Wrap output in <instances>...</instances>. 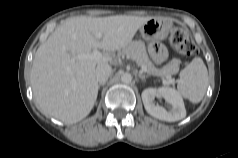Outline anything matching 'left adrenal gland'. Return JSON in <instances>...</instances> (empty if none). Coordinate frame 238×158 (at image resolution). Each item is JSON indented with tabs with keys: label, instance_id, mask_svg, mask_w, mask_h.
Instances as JSON below:
<instances>
[{
	"label": "left adrenal gland",
	"instance_id": "1",
	"mask_svg": "<svg viewBox=\"0 0 238 158\" xmlns=\"http://www.w3.org/2000/svg\"><path fill=\"white\" fill-rule=\"evenodd\" d=\"M138 76L142 81L145 80L146 77H148V75H144L142 72H139Z\"/></svg>",
	"mask_w": 238,
	"mask_h": 158
}]
</instances>
